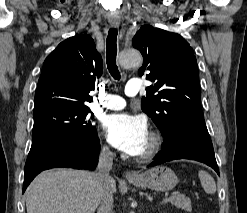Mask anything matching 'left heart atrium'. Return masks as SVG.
Instances as JSON below:
<instances>
[{"instance_id":"left-heart-atrium-1","label":"left heart atrium","mask_w":247,"mask_h":213,"mask_svg":"<svg viewBox=\"0 0 247 213\" xmlns=\"http://www.w3.org/2000/svg\"><path fill=\"white\" fill-rule=\"evenodd\" d=\"M103 128L116 148L133 156L142 153L149 137L146 120L128 113L107 116Z\"/></svg>"}]
</instances>
